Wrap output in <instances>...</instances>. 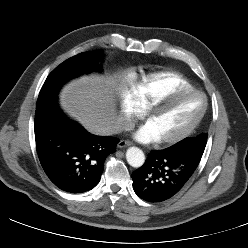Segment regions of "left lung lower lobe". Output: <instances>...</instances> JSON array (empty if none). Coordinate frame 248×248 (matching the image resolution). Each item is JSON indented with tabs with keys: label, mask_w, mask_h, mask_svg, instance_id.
Segmentation results:
<instances>
[{
	"label": "left lung lower lobe",
	"mask_w": 248,
	"mask_h": 248,
	"mask_svg": "<svg viewBox=\"0 0 248 248\" xmlns=\"http://www.w3.org/2000/svg\"><path fill=\"white\" fill-rule=\"evenodd\" d=\"M204 151L169 147L152 150L132 173L133 189L147 202H162L178 194L196 170Z\"/></svg>",
	"instance_id": "0a47b994"
}]
</instances>
